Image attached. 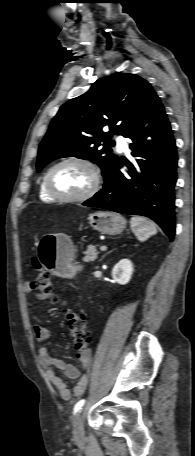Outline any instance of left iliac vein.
Instances as JSON below:
<instances>
[{"label": "left iliac vein", "mask_w": 195, "mask_h": 456, "mask_svg": "<svg viewBox=\"0 0 195 456\" xmlns=\"http://www.w3.org/2000/svg\"><path fill=\"white\" fill-rule=\"evenodd\" d=\"M73 437L75 441H81L84 437L83 413L79 411L73 420Z\"/></svg>", "instance_id": "4c4485c4"}]
</instances>
